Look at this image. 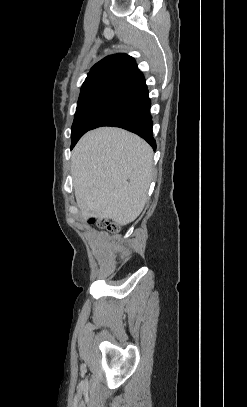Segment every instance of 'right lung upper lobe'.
<instances>
[{
    "label": "right lung upper lobe",
    "instance_id": "right-lung-upper-lobe-1",
    "mask_svg": "<svg viewBox=\"0 0 247 407\" xmlns=\"http://www.w3.org/2000/svg\"><path fill=\"white\" fill-rule=\"evenodd\" d=\"M113 88H125L137 92L147 88L145 78L137 68L135 59L127 54L110 55L96 63L82 85L79 99Z\"/></svg>",
    "mask_w": 247,
    "mask_h": 407
}]
</instances>
